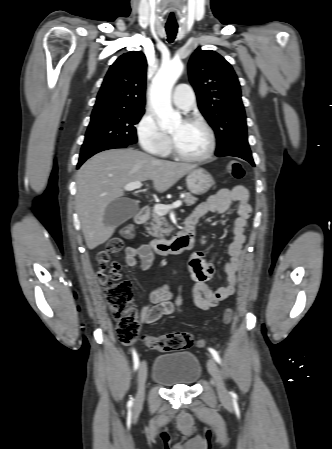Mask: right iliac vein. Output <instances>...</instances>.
I'll list each match as a JSON object with an SVG mask.
<instances>
[{
  "label": "right iliac vein",
  "mask_w": 332,
  "mask_h": 449,
  "mask_svg": "<svg viewBox=\"0 0 332 449\" xmlns=\"http://www.w3.org/2000/svg\"><path fill=\"white\" fill-rule=\"evenodd\" d=\"M146 379H147V364L145 361H142L140 363L137 375V393L135 398L136 406H139L144 400Z\"/></svg>",
  "instance_id": "1"
}]
</instances>
